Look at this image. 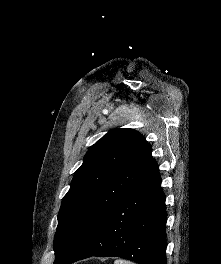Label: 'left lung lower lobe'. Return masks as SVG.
<instances>
[{
    "label": "left lung lower lobe",
    "mask_w": 221,
    "mask_h": 264,
    "mask_svg": "<svg viewBox=\"0 0 221 264\" xmlns=\"http://www.w3.org/2000/svg\"><path fill=\"white\" fill-rule=\"evenodd\" d=\"M158 166L75 247L54 264L114 256L139 264H167L165 196Z\"/></svg>",
    "instance_id": "0a47b994"
}]
</instances>
